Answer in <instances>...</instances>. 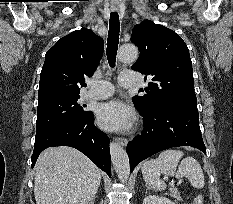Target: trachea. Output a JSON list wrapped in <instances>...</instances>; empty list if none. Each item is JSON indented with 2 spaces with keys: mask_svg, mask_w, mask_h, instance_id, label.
Returning a JSON list of instances; mask_svg holds the SVG:
<instances>
[{
  "mask_svg": "<svg viewBox=\"0 0 233 204\" xmlns=\"http://www.w3.org/2000/svg\"><path fill=\"white\" fill-rule=\"evenodd\" d=\"M120 23L117 12H112L109 19V33L107 38V59L111 67L115 66L116 53L119 43Z\"/></svg>",
  "mask_w": 233,
  "mask_h": 204,
  "instance_id": "3493384b",
  "label": "trachea"
}]
</instances>
